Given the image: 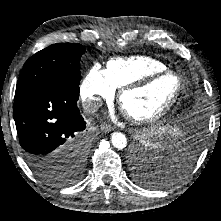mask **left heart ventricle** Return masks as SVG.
<instances>
[{"label": "left heart ventricle", "instance_id": "obj_1", "mask_svg": "<svg viewBox=\"0 0 221 221\" xmlns=\"http://www.w3.org/2000/svg\"><path fill=\"white\" fill-rule=\"evenodd\" d=\"M177 82L173 76L155 79L144 88L131 91L122 99V110L136 117L155 114L173 97Z\"/></svg>", "mask_w": 221, "mask_h": 221}]
</instances>
